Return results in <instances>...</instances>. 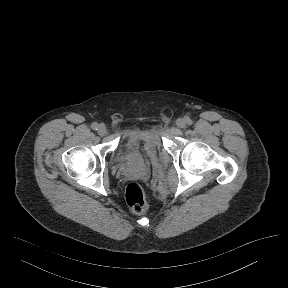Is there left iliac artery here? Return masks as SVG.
Here are the masks:
<instances>
[{
  "label": "left iliac artery",
  "instance_id": "obj_1",
  "mask_svg": "<svg viewBox=\"0 0 288 288\" xmlns=\"http://www.w3.org/2000/svg\"><path fill=\"white\" fill-rule=\"evenodd\" d=\"M185 120H186L188 125H191L193 123L189 117H186Z\"/></svg>",
  "mask_w": 288,
  "mask_h": 288
}]
</instances>
